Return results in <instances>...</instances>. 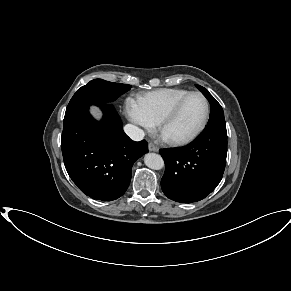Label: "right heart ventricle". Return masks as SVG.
Here are the masks:
<instances>
[{
    "instance_id": "obj_1",
    "label": "right heart ventricle",
    "mask_w": 291,
    "mask_h": 291,
    "mask_svg": "<svg viewBox=\"0 0 291 291\" xmlns=\"http://www.w3.org/2000/svg\"><path fill=\"white\" fill-rule=\"evenodd\" d=\"M188 93L189 90L181 88L159 89L140 96L138 103L148 118L157 124Z\"/></svg>"
}]
</instances>
